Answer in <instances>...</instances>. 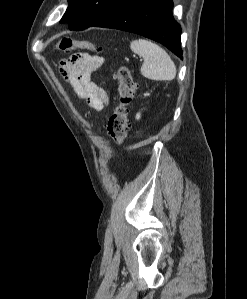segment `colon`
Returning a JSON list of instances; mask_svg holds the SVG:
<instances>
[{"instance_id": "colon-1", "label": "colon", "mask_w": 247, "mask_h": 299, "mask_svg": "<svg viewBox=\"0 0 247 299\" xmlns=\"http://www.w3.org/2000/svg\"><path fill=\"white\" fill-rule=\"evenodd\" d=\"M56 48L61 52H68L73 49H83L90 52H99L100 48L85 40L62 38ZM118 81V97L116 107L110 116L107 130L112 140L123 145L130 130L129 111L135 93V83L127 67L121 66L116 71Z\"/></svg>"}]
</instances>
